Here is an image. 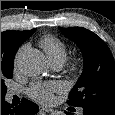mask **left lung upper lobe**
<instances>
[{"instance_id": "1", "label": "left lung upper lobe", "mask_w": 115, "mask_h": 115, "mask_svg": "<svg viewBox=\"0 0 115 115\" xmlns=\"http://www.w3.org/2000/svg\"><path fill=\"white\" fill-rule=\"evenodd\" d=\"M60 30L77 43L84 58L82 75L70 91L67 103L115 115V63L110 49L99 36L85 28Z\"/></svg>"}]
</instances>
